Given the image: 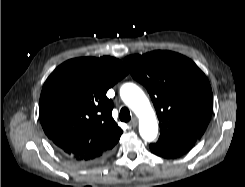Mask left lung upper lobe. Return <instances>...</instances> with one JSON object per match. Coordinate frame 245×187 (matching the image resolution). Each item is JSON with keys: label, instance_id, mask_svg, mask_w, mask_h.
<instances>
[{"label": "left lung upper lobe", "instance_id": "1", "mask_svg": "<svg viewBox=\"0 0 245 187\" xmlns=\"http://www.w3.org/2000/svg\"><path fill=\"white\" fill-rule=\"evenodd\" d=\"M132 77L153 101L161 139L200 138L210 121L213 96L205 74L189 58L153 51L124 59Z\"/></svg>", "mask_w": 245, "mask_h": 187}]
</instances>
